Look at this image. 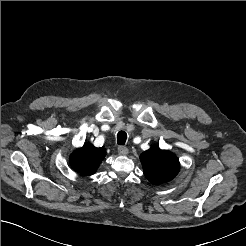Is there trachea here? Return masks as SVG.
<instances>
[{
	"label": "trachea",
	"mask_w": 246,
	"mask_h": 246,
	"mask_svg": "<svg viewBox=\"0 0 246 246\" xmlns=\"http://www.w3.org/2000/svg\"><path fill=\"white\" fill-rule=\"evenodd\" d=\"M127 139V134L125 131H119L117 134V143L119 145H124Z\"/></svg>",
	"instance_id": "1"
}]
</instances>
